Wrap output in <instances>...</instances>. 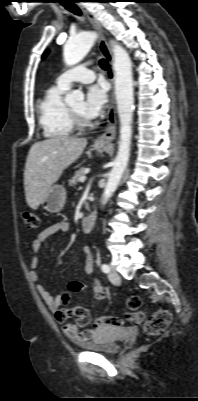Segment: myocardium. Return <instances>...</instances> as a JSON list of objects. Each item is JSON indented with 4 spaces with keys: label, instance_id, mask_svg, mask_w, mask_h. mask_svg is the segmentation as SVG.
I'll use <instances>...</instances> for the list:
<instances>
[{
    "label": "myocardium",
    "instance_id": "myocardium-1",
    "mask_svg": "<svg viewBox=\"0 0 198 401\" xmlns=\"http://www.w3.org/2000/svg\"><path fill=\"white\" fill-rule=\"evenodd\" d=\"M68 111L71 123L75 129L85 130L93 126V122L91 120L84 118L83 116L75 112L72 108L68 107Z\"/></svg>",
    "mask_w": 198,
    "mask_h": 401
}]
</instances>
